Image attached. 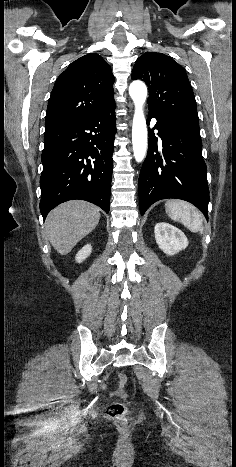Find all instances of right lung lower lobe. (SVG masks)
<instances>
[{"label": "right lung lower lobe", "mask_w": 236, "mask_h": 467, "mask_svg": "<svg viewBox=\"0 0 236 467\" xmlns=\"http://www.w3.org/2000/svg\"><path fill=\"white\" fill-rule=\"evenodd\" d=\"M115 107L45 133L40 177V211L44 219L58 204L73 199L89 201L109 212Z\"/></svg>", "instance_id": "obj_1"}]
</instances>
